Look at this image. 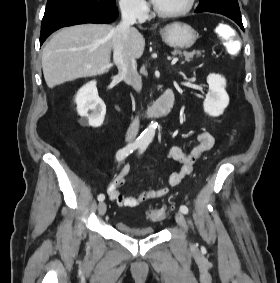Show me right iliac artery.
Returning a JSON list of instances; mask_svg holds the SVG:
<instances>
[{
    "mask_svg": "<svg viewBox=\"0 0 280 283\" xmlns=\"http://www.w3.org/2000/svg\"><path fill=\"white\" fill-rule=\"evenodd\" d=\"M142 143L139 141H135L133 143L128 144L127 146L123 147L122 149L118 150L116 153V159L118 161L124 160L128 155H130L134 150L140 148ZM105 199L104 194L98 195V201H103Z\"/></svg>",
    "mask_w": 280,
    "mask_h": 283,
    "instance_id": "1",
    "label": "right iliac artery"
}]
</instances>
